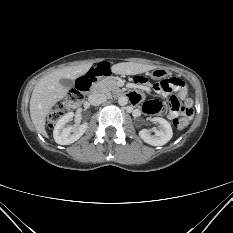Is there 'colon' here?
<instances>
[{
	"label": "colon",
	"mask_w": 233,
	"mask_h": 233,
	"mask_svg": "<svg viewBox=\"0 0 233 233\" xmlns=\"http://www.w3.org/2000/svg\"><path fill=\"white\" fill-rule=\"evenodd\" d=\"M106 74H100V76ZM135 80L137 82H144L145 79L141 76H137L135 77ZM173 84H178V81H176L174 78H171L158 81L155 85L156 89L170 90ZM89 85L90 83L86 81L85 77L78 79L75 88L70 90L66 98L61 101L57 107L48 115V125L50 127L55 125L61 119L65 111L78 106L83 101L84 94L88 90ZM147 106L153 114L162 112L166 109L177 111L178 115L173 119L172 123L173 126L178 130L186 128L193 116L192 101L189 99L181 103L177 97H173L171 98L168 105L154 100L148 102Z\"/></svg>",
	"instance_id": "obj_1"
}]
</instances>
